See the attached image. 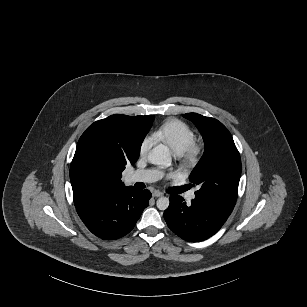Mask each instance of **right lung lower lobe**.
Segmentation results:
<instances>
[{
	"mask_svg": "<svg viewBox=\"0 0 307 307\" xmlns=\"http://www.w3.org/2000/svg\"><path fill=\"white\" fill-rule=\"evenodd\" d=\"M150 197L148 190L125 186L105 192L76 210L93 234L102 239H118L133 229Z\"/></svg>",
	"mask_w": 307,
	"mask_h": 307,
	"instance_id": "1",
	"label": "right lung lower lobe"
}]
</instances>
